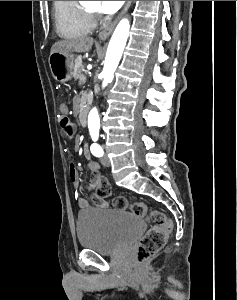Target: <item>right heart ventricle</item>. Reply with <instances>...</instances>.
<instances>
[{
	"label": "right heart ventricle",
	"mask_w": 237,
	"mask_h": 300,
	"mask_svg": "<svg viewBox=\"0 0 237 300\" xmlns=\"http://www.w3.org/2000/svg\"><path fill=\"white\" fill-rule=\"evenodd\" d=\"M53 13L56 30L63 37L87 35L94 27L78 1H53Z\"/></svg>",
	"instance_id": "obj_1"
}]
</instances>
